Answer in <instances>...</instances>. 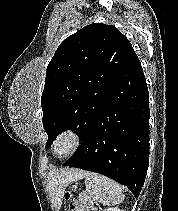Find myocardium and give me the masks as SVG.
<instances>
[{"label":"myocardium","mask_w":178,"mask_h":211,"mask_svg":"<svg viewBox=\"0 0 178 211\" xmlns=\"http://www.w3.org/2000/svg\"><path fill=\"white\" fill-rule=\"evenodd\" d=\"M64 138H67L69 140L70 145L64 153H59L57 151V145ZM80 145H81L80 133L76 129L68 127L61 130L56 135L52 144V151L54 155L57 156L58 158H66L74 154L79 149Z\"/></svg>","instance_id":"myocardium-1"}]
</instances>
